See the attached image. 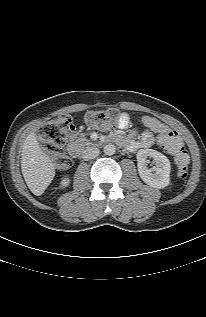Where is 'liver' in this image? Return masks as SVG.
<instances>
[{
	"mask_svg": "<svg viewBox=\"0 0 206 317\" xmlns=\"http://www.w3.org/2000/svg\"><path fill=\"white\" fill-rule=\"evenodd\" d=\"M21 170L28 188L36 196L44 193L55 176V166L41 149L34 132L24 141Z\"/></svg>",
	"mask_w": 206,
	"mask_h": 317,
	"instance_id": "1",
	"label": "liver"
}]
</instances>
